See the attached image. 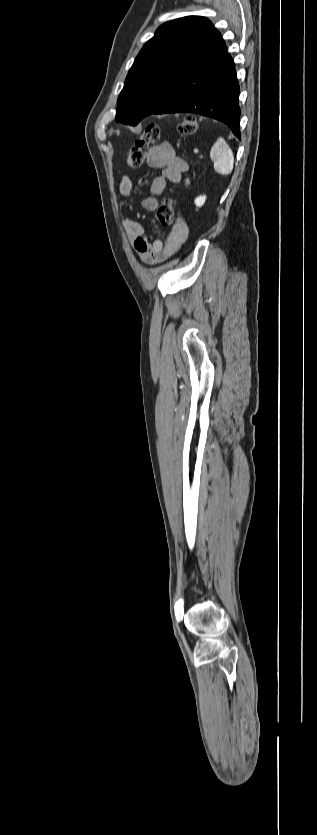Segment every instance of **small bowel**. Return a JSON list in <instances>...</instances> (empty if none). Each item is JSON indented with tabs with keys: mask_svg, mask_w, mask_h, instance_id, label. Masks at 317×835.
Listing matches in <instances>:
<instances>
[{
	"mask_svg": "<svg viewBox=\"0 0 317 835\" xmlns=\"http://www.w3.org/2000/svg\"><path fill=\"white\" fill-rule=\"evenodd\" d=\"M146 161L150 167L161 170V174L150 183V196L142 200L143 208L155 211L159 204L158 197L165 191L167 183H179L189 165L169 143L151 147ZM119 191L123 196L131 198L136 194V185L129 177L123 176L119 182ZM123 227L140 261L146 265L159 264L174 255L188 236V227L183 220L175 224L164 242L150 240L142 224L135 220L124 219Z\"/></svg>",
	"mask_w": 317,
	"mask_h": 835,
	"instance_id": "c3829d8e",
	"label": "small bowel"
}]
</instances>
